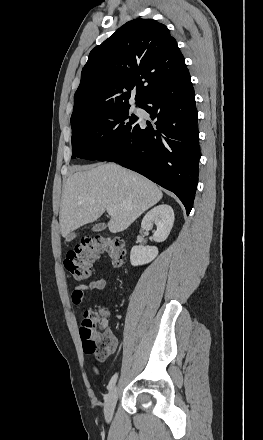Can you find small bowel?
I'll use <instances>...</instances> for the list:
<instances>
[{
  "instance_id": "small-bowel-1",
  "label": "small bowel",
  "mask_w": 263,
  "mask_h": 440,
  "mask_svg": "<svg viewBox=\"0 0 263 440\" xmlns=\"http://www.w3.org/2000/svg\"><path fill=\"white\" fill-rule=\"evenodd\" d=\"M106 286H107V280L103 277L94 278L86 284H79L75 286L72 290L71 301L74 305L77 306L81 305L85 301L87 295L90 292L104 290ZM116 347H117V341L115 339L112 347L109 350V353L114 352Z\"/></svg>"
}]
</instances>
